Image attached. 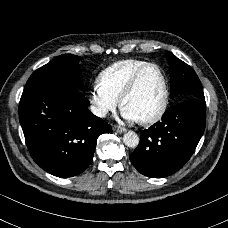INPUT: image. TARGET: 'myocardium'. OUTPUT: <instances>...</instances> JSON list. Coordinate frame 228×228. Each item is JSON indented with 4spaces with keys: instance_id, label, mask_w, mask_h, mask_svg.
Here are the masks:
<instances>
[{
    "instance_id": "f54148a6",
    "label": "myocardium",
    "mask_w": 228,
    "mask_h": 228,
    "mask_svg": "<svg viewBox=\"0 0 228 228\" xmlns=\"http://www.w3.org/2000/svg\"><path fill=\"white\" fill-rule=\"evenodd\" d=\"M151 68H155L156 70H158V72L161 74V77L163 79L164 102H163V105L160 108V110L155 115H153L149 118H146V119L138 120V122L140 124H144V125L153 124V123L160 121L168 110L169 103H170V88H169V82H168L167 75H166L165 71L163 70V68L157 63H149V64L145 65L144 67L140 68L133 75L130 83L128 84V86L126 87L125 91L123 92V94L120 98V106L122 109H124L126 100L136 91L142 76Z\"/></svg>"
}]
</instances>
